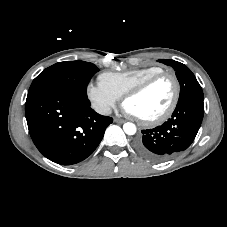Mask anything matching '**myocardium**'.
I'll return each mask as SVG.
<instances>
[{
  "instance_id": "myocardium-1",
  "label": "myocardium",
  "mask_w": 227,
  "mask_h": 227,
  "mask_svg": "<svg viewBox=\"0 0 227 227\" xmlns=\"http://www.w3.org/2000/svg\"><path fill=\"white\" fill-rule=\"evenodd\" d=\"M164 77H169L173 82V85H174L173 98H172L169 106L166 108V110L164 112H162L160 115L150 118V119H143V118L137 117V119L144 125H147V126L158 125V124L166 121L173 114V112L175 111V109L179 103L180 93H181V87H180V82H179L178 77L173 72L162 71L160 73H157V74H154V75L148 77L144 81L140 82L136 86L129 89L123 95L122 101H123V104H125V102L129 98L140 95L141 93L146 91L151 85H153L156 81H158Z\"/></svg>"
}]
</instances>
